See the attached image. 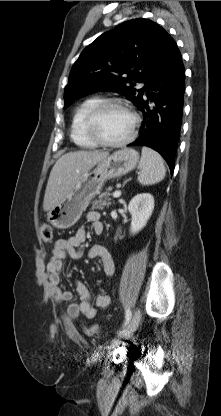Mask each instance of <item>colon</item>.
Returning a JSON list of instances; mask_svg holds the SVG:
<instances>
[{"instance_id": "colon-1", "label": "colon", "mask_w": 221, "mask_h": 416, "mask_svg": "<svg viewBox=\"0 0 221 416\" xmlns=\"http://www.w3.org/2000/svg\"><path fill=\"white\" fill-rule=\"evenodd\" d=\"M41 237L44 242H50L53 238V231L51 226L43 225L41 228ZM87 335L89 336H98L99 329L96 327H88L85 329Z\"/></svg>"}]
</instances>
